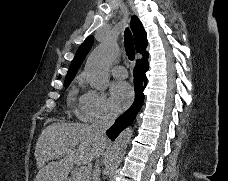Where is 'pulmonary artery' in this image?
<instances>
[{
    "instance_id": "e3ab8cb5",
    "label": "pulmonary artery",
    "mask_w": 228,
    "mask_h": 181,
    "mask_svg": "<svg viewBox=\"0 0 228 181\" xmlns=\"http://www.w3.org/2000/svg\"><path fill=\"white\" fill-rule=\"evenodd\" d=\"M111 41H115V40H111ZM113 73H114V75L117 76V79H128V74H125L126 73V69L124 67L117 66L113 70Z\"/></svg>"
}]
</instances>
